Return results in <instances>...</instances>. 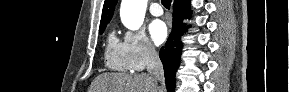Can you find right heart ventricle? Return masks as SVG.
Segmentation results:
<instances>
[{
  "mask_svg": "<svg viewBox=\"0 0 289 92\" xmlns=\"http://www.w3.org/2000/svg\"><path fill=\"white\" fill-rule=\"evenodd\" d=\"M105 60L109 68L116 71H128L123 43L119 42L116 36L111 33L107 39Z\"/></svg>",
  "mask_w": 289,
  "mask_h": 92,
  "instance_id": "1",
  "label": "right heart ventricle"
}]
</instances>
